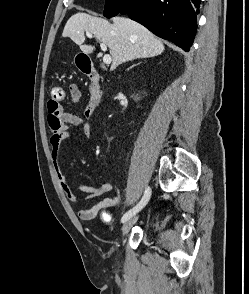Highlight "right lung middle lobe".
<instances>
[{
    "label": "right lung middle lobe",
    "instance_id": "1",
    "mask_svg": "<svg viewBox=\"0 0 249 294\" xmlns=\"http://www.w3.org/2000/svg\"><path fill=\"white\" fill-rule=\"evenodd\" d=\"M129 0H106L104 16H116Z\"/></svg>",
    "mask_w": 249,
    "mask_h": 294
}]
</instances>
